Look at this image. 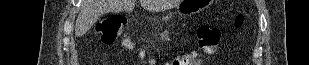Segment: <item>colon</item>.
Instances as JSON below:
<instances>
[{"mask_svg": "<svg viewBox=\"0 0 309 65\" xmlns=\"http://www.w3.org/2000/svg\"><path fill=\"white\" fill-rule=\"evenodd\" d=\"M235 23L238 27L244 23L242 15L237 16ZM128 25V18L125 15L113 14L101 19L95 26V32L100 36L105 45H111L120 39L121 34ZM198 51L186 53L171 61L170 65H200L203 58L211 55L217 49L221 31L218 27L212 25H200L196 32ZM122 45L127 49L134 47L133 42L128 39H122Z\"/></svg>", "mask_w": 309, "mask_h": 65, "instance_id": "colon-1", "label": "colon"}]
</instances>
